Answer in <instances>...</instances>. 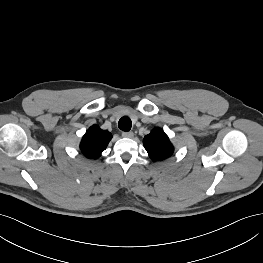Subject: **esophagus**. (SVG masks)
Instances as JSON below:
<instances>
[{
  "label": "esophagus",
  "mask_w": 263,
  "mask_h": 263,
  "mask_svg": "<svg viewBox=\"0 0 263 263\" xmlns=\"http://www.w3.org/2000/svg\"><path fill=\"white\" fill-rule=\"evenodd\" d=\"M133 132H131V131H129V132H122V136L124 137V138H131V137H133Z\"/></svg>",
  "instance_id": "1"
}]
</instances>
